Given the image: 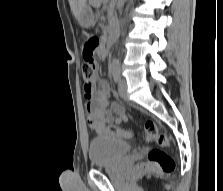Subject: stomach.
Here are the masks:
<instances>
[{
  "instance_id": "1",
  "label": "stomach",
  "mask_w": 223,
  "mask_h": 191,
  "mask_svg": "<svg viewBox=\"0 0 223 191\" xmlns=\"http://www.w3.org/2000/svg\"><path fill=\"white\" fill-rule=\"evenodd\" d=\"M78 22L83 27H90L93 24L94 14L89 5H86L82 10Z\"/></svg>"
}]
</instances>
